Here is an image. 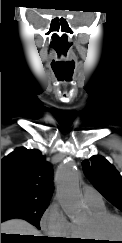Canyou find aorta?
Masks as SVG:
<instances>
[{
    "mask_svg": "<svg viewBox=\"0 0 122 243\" xmlns=\"http://www.w3.org/2000/svg\"><path fill=\"white\" fill-rule=\"evenodd\" d=\"M55 181L57 198L65 214L75 220L83 213V203L79 192V175L73 162H66L58 168Z\"/></svg>",
    "mask_w": 122,
    "mask_h": 243,
    "instance_id": "aorta-1",
    "label": "aorta"
}]
</instances>
